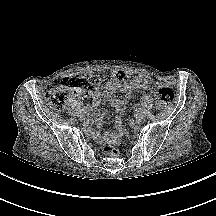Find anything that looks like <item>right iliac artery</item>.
<instances>
[{
    "instance_id": "obj_1",
    "label": "right iliac artery",
    "mask_w": 216,
    "mask_h": 216,
    "mask_svg": "<svg viewBox=\"0 0 216 216\" xmlns=\"http://www.w3.org/2000/svg\"><path fill=\"white\" fill-rule=\"evenodd\" d=\"M86 109H82L80 113L85 114L86 113Z\"/></svg>"
}]
</instances>
